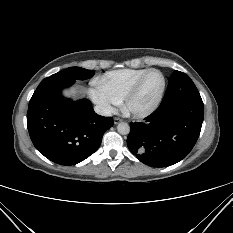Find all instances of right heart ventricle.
<instances>
[{"mask_svg":"<svg viewBox=\"0 0 233 233\" xmlns=\"http://www.w3.org/2000/svg\"><path fill=\"white\" fill-rule=\"evenodd\" d=\"M147 68L120 69L105 73L96 82L106 89L118 102H121Z\"/></svg>","mask_w":233,"mask_h":233,"instance_id":"obj_1","label":"right heart ventricle"}]
</instances>
